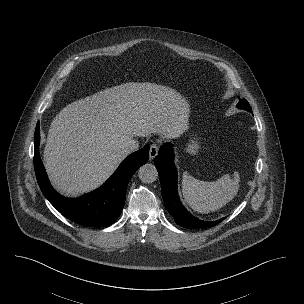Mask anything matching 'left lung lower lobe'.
<instances>
[{
	"instance_id": "1",
	"label": "left lung lower lobe",
	"mask_w": 304,
	"mask_h": 304,
	"mask_svg": "<svg viewBox=\"0 0 304 304\" xmlns=\"http://www.w3.org/2000/svg\"><path fill=\"white\" fill-rule=\"evenodd\" d=\"M174 153L170 143L163 144L155 157L154 163L158 170L164 204L175 222L188 229H205L217 225V221H203L192 216L181 204L177 194V170L174 165Z\"/></svg>"
}]
</instances>
